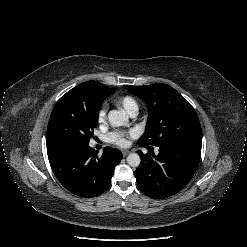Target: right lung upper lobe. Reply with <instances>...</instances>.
Listing matches in <instances>:
<instances>
[{"label": "right lung upper lobe", "mask_w": 247, "mask_h": 247, "mask_svg": "<svg viewBox=\"0 0 247 247\" xmlns=\"http://www.w3.org/2000/svg\"><path fill=\"white\" fill-rule=\"evenodd\" d=\"M115 89L105 86L96 81H87L74 87L67 94H74L81 97L95 99L97 102L102 103L103 100L112 95Z\"/></svg>", "instance_id": "obj_1"}]
</instances>
